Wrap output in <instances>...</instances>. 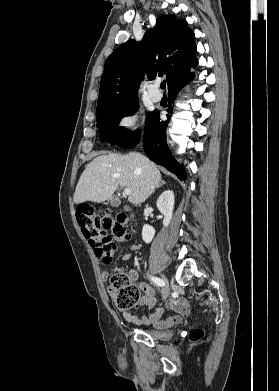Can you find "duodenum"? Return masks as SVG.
Returning a JSON list of instances; mask_svg holds the SVG:
<instances>
[{"label":"duodenum","mask_w":279,"mask_h":391,"mask_svg":"<svg viewBox=\"0 0 279 391\" xmlns=\"http://www.w3.org/2000/svg\"><path fill=\"white\" fill-rule=\"evenodd\" d=\"M131 218L134 220V215L133 214H131Z\"/></svg>","instance_id":"duodenum-1"}]
</instances>
